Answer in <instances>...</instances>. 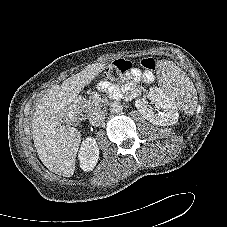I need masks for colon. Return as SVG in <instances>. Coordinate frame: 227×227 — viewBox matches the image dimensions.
<instances>
[{
  "label": "colon",
  "mask_w": 227,
  "mask_h": 227,
  "mask_svg": "<svg viewBox=\"0 0 227 227\" xmlns=\"http://www.w3.org/2000/svg\"><path fill=\"white\" fill-rule=\"evenodd\" d=\"M141 66L145 74H152L156 69V62L153 58H144L141 60ZM131 69V63L127 60L121 59L113 62L106 70V76L112 79H116L122 74Z\"/></svg>",
  "instance_id": "colon-1"
}]
</instances>
